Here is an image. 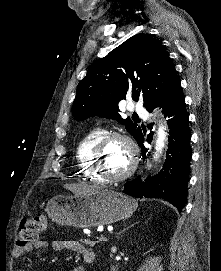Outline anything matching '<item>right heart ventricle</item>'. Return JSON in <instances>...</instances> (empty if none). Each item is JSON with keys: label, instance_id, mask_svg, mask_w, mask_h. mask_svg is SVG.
I'll return each instance as SVG.
<instances>
[{"label": "right heart ventricle", "instance_id": "e07e8e85", "mask_svg": "<svg viewBox=\"0 0 221 271\" xmlns=\"http://www.w3.org/2000/svg\"><path fill=\"white\" fill-rule=\"evenodd\" d=\"M105 133L100 130H93L84 135L77 144L76 155L77 164H79L80 176L83 179H93V183H107V178H103V174H97L96 164L94 163L95 155L92 150H96L95 145L101 144V140Z\"/></svg>", "mask_w": 221, "mask_h": 271}]
</instances>
